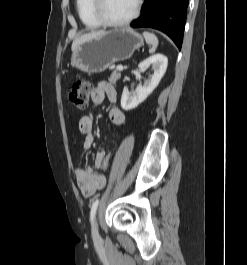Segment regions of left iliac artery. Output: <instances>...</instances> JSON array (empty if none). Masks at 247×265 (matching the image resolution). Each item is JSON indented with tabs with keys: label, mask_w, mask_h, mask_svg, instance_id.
I'll return each mask as SVG.
<instances>
[{
	"label": "left iliac artery",
	"mask_w": 247,
	"mask_h": 265,
	"mask_svg": "<svg viewBox=\"0 0 247 265\" xmlns=\"http://www.w3.org/2000/svg\"><path fill=\"white\" fill-rule=\"evenodd\" d=\"M98 204H99V199H96L93 204H92V207H91V212H90V220L93 221V218L95 216V213H96V210H97V207H98Z\"/></svg>",
	"instance_id": "obj_1"
}]
</instances>
